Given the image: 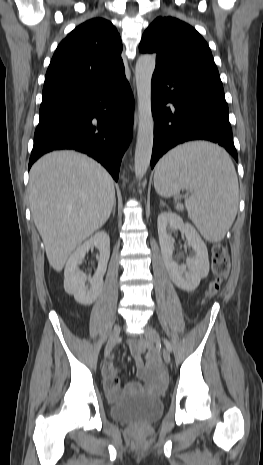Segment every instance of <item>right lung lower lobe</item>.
<instances>
[{
  "instance_id": "98d812e1",
  "label": "right lung lower lobe",
  "mask_w": 263,
  "mask_h": 465,
  "mask_svg": "<svg viewBox=\"0 0 263 465\" xmlns=\"http://www.w3.org/2000/svg\"><path fill=\"white\" fill-rule=\"evenodd\" d=\"M133 119L134 99L125 75L43 97L29 168L47 152L74 149L96 159L117 181Z\"/></svg>"
}]
</instances>
